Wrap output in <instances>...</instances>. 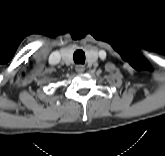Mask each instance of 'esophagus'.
<instances>
[{
  "instance_id": "34e87169",
  "label": "esophagus",
  "mask_w": 165,
  "mask_h": 156,
  "mask_svg": "<svg viewBox=\"0 0 165 156\" xmlns=\"http://www.w3.org/2000/svg\"><path fill=\"white\" fill-rule=\"evenodd\" d=\"M75 70L78 73H82V72L85 71V66L84 65H81V64H78V65L75 66Z\"/></svg>"
}]
</instances>
